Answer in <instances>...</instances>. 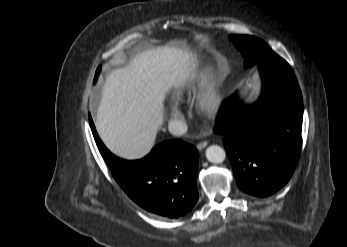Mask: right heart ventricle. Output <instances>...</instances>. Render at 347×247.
<instances>
[{
	"instance_id": "e07e8e85",
	"label": "right heart ventricle",
	"mask_w": 347,
	"mask_h": 247,
	"mask_svg": "<svg viewBox=\"0 0 347 247\" xmlns=\"http://www.w3.org/2000/svg\"><path fill=\"white\" fill-rule=\"evenodd\" d=\"M183 98V90L181 88H178L174 94V99L177 101L182 100Z\"/></svg>"
}]
</instances>
